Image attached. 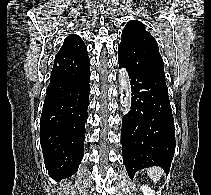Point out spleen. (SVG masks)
Masks as SVG:
<instances>
[{"mask_svg": "<svg viewBox=\"0 0 211 195\" xmlns=\"http://www.w3.org/2000/svg\"><path fill=\"white\" fill-rule=\"evenodd\" d=\"M164 171L159 167H153L147 169L148 176L154 181L158 182L161 179V176L163 175Z\"/></svg>", "mask_w": 211, "mask_h": 195, "instance_id": "spleen-1", "label": "spleen"}]
</instances>
